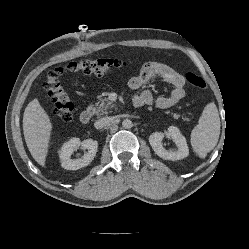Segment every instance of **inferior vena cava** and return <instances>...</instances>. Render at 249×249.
Returning <instances> with one entry per match:
<instances>
[{"mask_svg": "<svg viewBox=\"0 0 249 249\" xmlns=\"http://www.w3.org/2000/svg\"><path fill=\"white\" fill-rule=\"evenodd\" d=\"M110 121H111L110 117L101 118L94 123V127L96 129H101L105 127L106 125H108Z\"/></svg>", "mask_w": 249, "mask_h": 249, "instance_id": "1", "label": "inferior vena cava"}]
</instances>
